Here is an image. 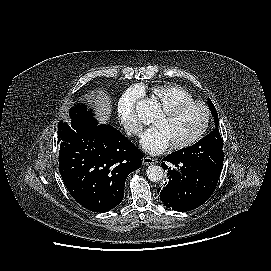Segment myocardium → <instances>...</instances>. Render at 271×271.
Here are the masks:
<instances>
[{"mask_svg": "<svg viewBox=\"0 0 271 271\" xmlns=\"http://www.w3.org/2000/svg\"><path fill=\"white\" fill-rule=\"evenodd\" d=\"M190 107H199L204 111V113H205L204 124L201 127V129L189 140H187L183 143H180V144L170 145L171 149L174 151L185 150V149L193 146L197 142H199L204 137V135L206 134V132L210 126L211 111L206 104H204L202 102H198V101H193V100L187 101V102L175 103V104L160 108V110H159V113L162 115L174 116L177 113H179L187 108H190Z\"/></svg>", "mask_w": 271, "mask_h": 271, "instance_id": "obj_1", "label": "myocardium"}]
</instances>
